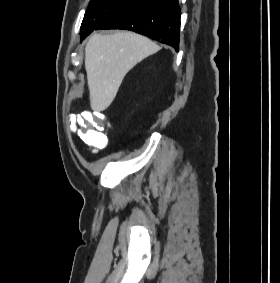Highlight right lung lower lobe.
<instances>
[{
	"instance_id": "obj_1",
	"label": "right lung lower lobe",
	"mask_w": 280,
	"mask_h": 283,
	"mask_svg": "<svg viewBox=\"0 0 280 283\" xmlns=\"http://www.w3.org/2000/svg\"><path fill=\"white\" fill-rule=\"evenodd\" d=\"M178 0H136L104 20L97 29H126L179 50Z\"/></svg>"
}]
</instances>
